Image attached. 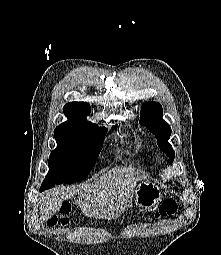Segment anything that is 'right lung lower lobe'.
Listing matches in <instances>:
<instances>
[{
	"mask_svg": "<svg viewBox=\"0 0 221 255\" xmlns=\"http://www.w3.org/2000/svg\"><path fill=\"white\" fill-rule=\"evenodd\" d=\"M49 188H51V187H45V186H42L40 190H41V191H43V190H45V189H49Z\"/></svg>",
	"mask_w": 221,
	"mask_h": 255,
	"instance_id": "98d812e1",
	"label": "right lung lower lobe"
}]
</instances>
